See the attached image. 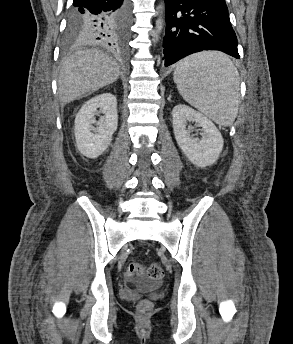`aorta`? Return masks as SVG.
Segmentation results:
<instances>
[{
    "mask_svg": "<svg viewBox=\"0 0 293 344\" xmlns=\"http://www.w3.org/2000/svg\"><path fill=\"white\" fill-rule=\"evenodd\" d=\"M165 6L164 3H161L159 5V10H160V16L156 21V26H155V31H154V42L157 40V37L160 35L163 25H164V20H163V12H164Z\"/></svg>",
    "mask_w": 293,
    "mask_h": 344,
    "instance_id": "1",
    "label": "aorta"
}]
</instances>
